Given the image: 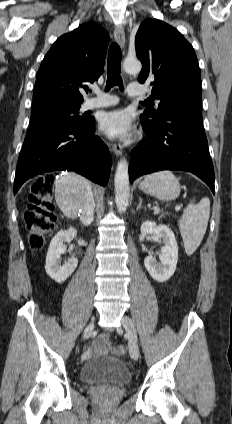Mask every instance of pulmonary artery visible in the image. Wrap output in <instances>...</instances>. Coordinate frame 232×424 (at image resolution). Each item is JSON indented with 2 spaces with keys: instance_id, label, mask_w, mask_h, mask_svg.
<instances>
[{
  "instance_id": "obj_1",
  "label": "pulmonary artery",
  "mask_w": 232,
  "mask_h": 424,
  "mask_svg": "<svg viewBox=\"0 0 232 424\" xmlns=\"http://www.w3.org/2000/svg\"><path fill=\"white\" fill-rule=\"evenodd\" d=\"M127 93L131 97L141 96L146 93V89L141 84L132 83L128 86ZM95 97H92L85 101L84 109H96L110 107L118 103L119 98L115 95L102 93L99 90H95Z\"/></svg>"
}]
</instances>
